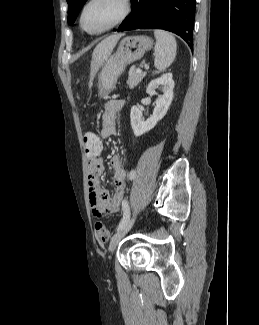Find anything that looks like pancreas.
<instances>
[{
    "label": "pancreas",
    "instance_id": "1",
    "mask_svg": "<svg viewBox=\"0 0 259 325\" xmlns=\"http://www.w3.org/2000/svg\"><path fill=\"white\" fill-rule=\"evenodd\" d=\"M145 76L146 72L137 73L135 69H131L129 71V76L127 80L129 88L133 89L134 87H136Z\"/></svg>",
    "mask_w": 259,
    "mask_h": 325
}]
</instances>
